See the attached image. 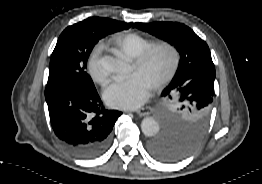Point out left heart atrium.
<instances>
[{"label":"left heart atrium","mask_w":262,"mask_h":184,"mask_svg":"<svg viewBox=\"0 0 262 184\" xmlns=\"http://www.w3.org/2000/svg\"><path fill=\"white\" fill-rule=\"evenodd\" d=\"M152 84L139 72L118 79L104 93L107 104L119 109H134L149 97Z\"/></svg>","instance_id":"left-heart-atrium-1"}]
</instances>
